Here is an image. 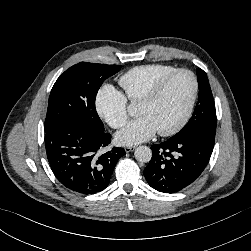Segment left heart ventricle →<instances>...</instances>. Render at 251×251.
Masks as SVG:
<instances>
[{
  "label": "left heart ventricle",
  "mask_w": 251,
  "mask_h": 251,
  "mask_svg": "<svg viewBox=\"0 0 251 251\" xmlns=\"http://www.w3.org/2000/svg\"><path fill=\"white\" fill-rule=\"evenodd\" d=\"M192 90L191 78L187 74H179L153 103H139L137 114L147 116L157 131L172 128L184 115Z\"/></svg>",
  "instance_id": "b2bd125f"
}]
</instances>
